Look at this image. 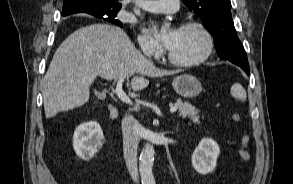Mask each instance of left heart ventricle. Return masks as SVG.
I'll list each match as a JSON object with an SVG mask.
<instances>
[{
    "label": "left heart ventricle",
    "mask_w": 293,
    "mask_h": 184,
    "mask_svg": "<svg viewBox=\"0 0 293 184\" xmlns=\"http://www.w3.org/2000/svg\"><path fill=\"white\" fill-rule=\"evenodd\" d=\"M205 49V38L197 29H179L170 53L180 60H193Z\"/></svg>",
    "instance_id": "left-heart-ventricle-1"
}]
</instances>
